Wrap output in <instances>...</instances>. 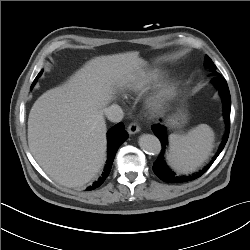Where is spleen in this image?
I'll return each instance as SVG.
<instances>
[{
    "mask_svg": "<svg viewBox=\"0 0 250 250\" xmlns=\"http://www.w3.org/2000/svg\"><path fill=\"white\" fill-rule=\"evenodd\" d=\"M215 137L207 124H200L187 134L169 136L168 162L180 173H190L200 167L210 156Z\"/></svg>",
    "mask_w": 250,
    "mask_h": 250,
    "instance_id": "1",
    "label": "spleen"
}]
</instances>
